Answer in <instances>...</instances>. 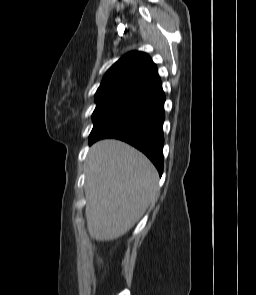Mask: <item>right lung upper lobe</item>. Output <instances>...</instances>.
<instances>
[{
    "label": "right lung upper lobe",
    "instance_id": "right-lung-upper-lobe-1",
    "mask_svg": "<svg viewBox=\"0 0 256 295\" xmlns=\"http://www.w3.org/2000/svg\"><path fill=\"white\" fill-rule=\"evenodd\" d=\"M159 80L157 67L146 53L129 52L106 72L95 94L96 104L135 98Z\"/></svg>",
    "mask_w": 256,
    "mask_h": 295
}]
</instances>
